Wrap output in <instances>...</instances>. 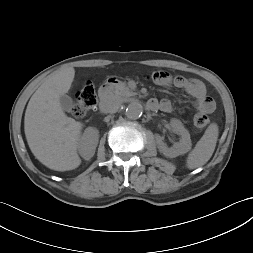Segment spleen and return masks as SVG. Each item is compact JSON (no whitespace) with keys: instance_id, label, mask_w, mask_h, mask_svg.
<instances>
[{"instance_id":"1","label":"spleen","mask_w":253,"mask_h":253,"mask_svg":"<svg viewBox=\"0 0 253 253\" xmlns=\"http://www.w3.org/2000/svg\"><path fill=\"white\" fill-rule=\"evenodd\" d=\"M218 135L219 129L217 124H210L204 135L188 155L187 167L189 169H196L208 162L215 150Z\"/></svg>"}]
</instances>
